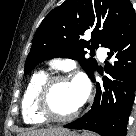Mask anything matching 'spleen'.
<instances>
[{
	"mask_svg": "<svg viewBox=\"0 0 136 136\" xmlns=\"http://www.w3.org/2000/svg\"><path fill=\"white\" fill-rule=\"evenodd\" d=\"M83 136H95V135L89 134V133H85V134H83Z\"/></svg>",
	"mask_w": 136,
	"mask_h": 136,
	"instance_id": "3e777b00",
	"label": "spleen"
}]
</instances>
